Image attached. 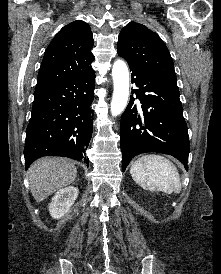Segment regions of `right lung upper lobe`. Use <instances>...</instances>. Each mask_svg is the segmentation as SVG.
Wrapping results in <instances>:
<instances>
[{
  "instance_id": "right-lung-upper-lobe-1",
  "label": "right lung upper lobe",
  "mask_w": 221,
  "mask_h": 274,
  "mask_svg": "<svg viewBox=\"0 0 221 274\" xmlns=\"http://www.w3.org/2000/svg\"><path fill=\"white\" fill-rule=\"evenodd\" d=\"M92 47L93 35L87 23L76 20L64 26L45 51L35 92L92 71Z\"/></svg>"
}]
</instances>
